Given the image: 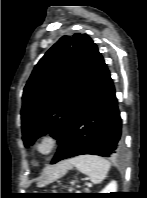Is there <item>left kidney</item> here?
<instances>
[{
    "label": "left kidney",
    "instance_id": "obj_1",
    "mask_svg": "<svg viewBox=\"0 0 147 198\" xmlns=\"http://www.w3.org/2000/svg\"><path fill=\"white\" fill-rule=\"evenodd\" d=\"M117 192V182L111 181L100 193Z\"/></svg>",
    "mask_w": 147,
    "mask_h": 198
}]
</instances>
